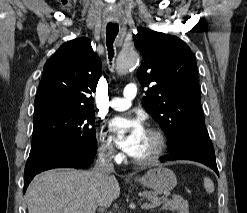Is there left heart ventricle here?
Segmentation results:
<instances>
[{"instance_id": "obj_1", "label": "left heart ventricle", "mask_w": 247, "mask_h": 213, "mask_svg": "<svg viewBox=\"0 0 247 213\" xmlns=\"http://www.w3.org/2000/svg\"><path fill=\"white\" fill-rule=\"evenodd\" d=\"M156 146L157 140L155 136L146 132L139 149L133 156L140 159L148 158L154 153Z\"/></svg>"}]
</instances>
